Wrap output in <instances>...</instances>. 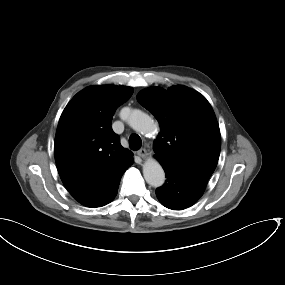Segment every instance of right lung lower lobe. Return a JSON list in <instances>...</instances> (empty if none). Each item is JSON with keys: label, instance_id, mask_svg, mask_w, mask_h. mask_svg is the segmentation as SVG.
<instances>
[{"label": "right lung lower lobe", "instance_id": "right-lung-lower-lobe-1", "mask_svg": "<svg viewBox=\"0 0 285 285\" xmlns=\"http://www.w3.org/2000/svg\"><path fill=\"white\" fill-rule=\"evenodd\" d=\"M117 189H118V188H117ZM117 189H116L115 192L109 197V199L106 200V201H105L103 204H101L100 206H104V205L110 203V202L112 201V199L115 197V195H116V193H117ZM100 206H99V207H100Z\"/></svg>", "mask_w": 285, "mask_h": 285}]
</instances>
